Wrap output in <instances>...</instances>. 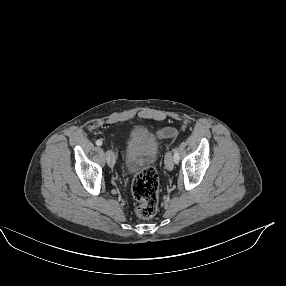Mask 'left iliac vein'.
I'll use <instances>...</instances> for the list:
<instances>
[{
  "instance_id": "left-iliac-vein-1",
  "label": "left iliac vein",
  "mask_w": 286,
  "mask_h": 286,
  "mask_svg": "<svg viewBox=\"0 0 286 286\" xmlns=\"http://www.w3.org/2000/svg\"><path fill=\"white\" fill-rule=\"evenodd\" d=\"M165 167L168 171L174 168V160L171 152H168L165 156Z\"/></svg>"
}]
</instances>
